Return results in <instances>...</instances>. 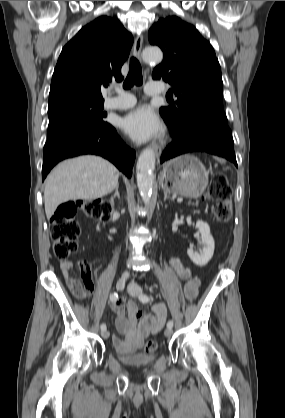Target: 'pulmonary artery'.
<instances>
[{
  "mask_svg": "<svg viewBox=\"0 0 285 418\" xmlns=\"http://www.w3.org/2000/svg\"><path fill=\"white\" fill-rule=\"evenodd\" d=\"M115 96L108 97L104 100V108L106 110H122L133 106L136 99L133 95L125 93L118 88H112ZM147 95H158L165 93V88L154 83H149L145 89Z\"/></svg>",
  "mask_w": 285,
  "mask_h": 418,
  "instance_id": "obj_1",
  "label": "pulmonary artery"
}]
</instances>
